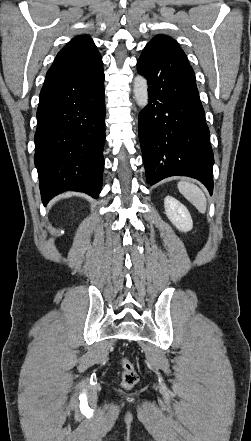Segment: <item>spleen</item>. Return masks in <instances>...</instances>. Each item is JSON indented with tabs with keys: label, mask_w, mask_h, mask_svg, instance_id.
<instances>
[{
	"label": "spleen",
	"mask_w": 251,
	"mask_h": 441,
	"mask_svg": "<svg viewBox=\"0 0 251 441\" xmlns=\"http://www.w3.org/2000/svg\"><path fill=\"white\" fill-rule=\"evenodd\" d=\"M177 187L180 193L195 206L200 213L204 214L206 212V197L198 186L187 181H180Z\"/></svg>",
	"instance_id": "obj_1"
}]
</instances>
